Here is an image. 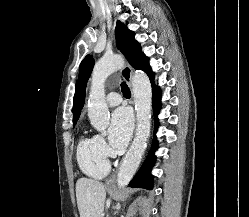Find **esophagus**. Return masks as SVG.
<instances>
[{
  "label": "esophagus",
  "instance_id": "obj_1",
  "mask_svg": "<svg viewBox=\"0 0 249 217\" xmlns=\"http://www.w3.org/2000/svg\"><path fill=\"white\" fill-rule=\"evenodd\" d=\"M121 75L123 76V78L129 83L130 88L132 90V75H133V70L132 68L128 65L125 64L123 66V68L121 69ZM133 103V101H132ZM116 181V174H113L107 181H106V185L108 186H113L115 184Z\"/></svg>",
  "mask_w": 249,
  "mask_h": 217
}]
</instances>
